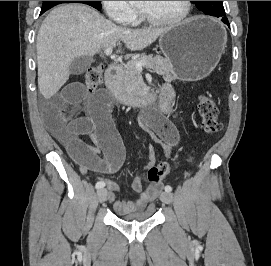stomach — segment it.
<instances>
[{
  "label": "stomach",
  "mask_w": 271,
  "mask_h": 266,
  "mask_svg": "<svg viewBox=\"0 0 271 266\" xmlns=\"http://www.w3.org/2000/svg\"><path fill=\"white\" fill-rule=\"evenodd\" d=\"M227 43L223 26L207 17H193L169 27L160 35L159 46L171 64L172 77L198 81L217 66Z\"/></svg>",
  "instance_id": "obj_1"
}]
</instances>
